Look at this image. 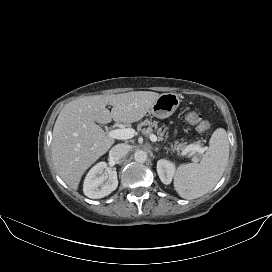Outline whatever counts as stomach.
Here are the masks:
<instances>
[{"mask_svg": "<svg viewBox=\"0 0 272 272\" xmlns=\"http://www.w3.org/2000/svg\"><path fill=\"white\" fill-rule=\"evenodd\" d=\"M180 104L179 96L176 93H164L159 96L150 109V113L159 119L171 116Z\"/></svg>", "mask_w": 272, "mask_h": 272, "instance_id": "0dacf381", "label": "stomach"}]
</instances>
